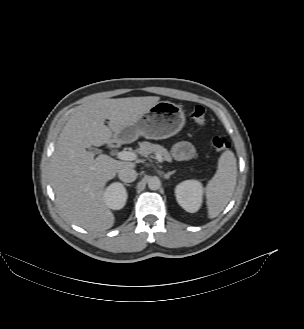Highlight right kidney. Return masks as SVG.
<instances>
[{"label":"right kidney","mask_w":304,"mask_h":329,"mask_svg":"<svg viewBox=\"0 0 304 329\" xmlns=\"http://www.w3.org/2000/svg\"><path fill=\"white\" fill-rule=\"evenodd\" d=\"M103 197L109 208L119 210L123 208L126 203L127 191L122 184L115 182L106 188Z\"/></svg>","instance_id":"right-kidney-1"}]
</instances>
